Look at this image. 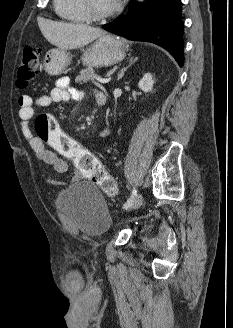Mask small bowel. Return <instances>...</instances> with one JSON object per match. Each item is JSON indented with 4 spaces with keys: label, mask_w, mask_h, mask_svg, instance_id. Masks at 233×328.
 <instances>
[{
    "label": "small bowel",
    "mask_w": 233,
    "mask_h": 328,
    "mask_svg": "<svg viewBox=\"0 0 233 328\" xmlns=\"http://www.w3.org/2000/svg\"><path fill=\"white\" fill-rule=\"evenodd\" d=\"M100 93L96 95L97 96ZM82 97V93L75 88L70 87L67 79H59L55 82L53 89L46 95L36 99L28 95L20 96L18 99L19 119L21 122V130L25 138L29 141L32 150L35 152L37 158L47 165H50L56 173H65L68 170L67 162L53 151L49 150L45 143L38 137L33 136L29 122L34 115V107H47L53 103L65 102L70 99L78 100ZM109 130L106 129L101 133V137L107 136ZM80 172H76V177H80ZM45 181L48 184H60V182L53 178L46 176ZM68 289L71 292H79L82 290L84 280L77 270H71L67 275Z\"/></svg>",
    "instance_id": "1"
}]
</instances>
